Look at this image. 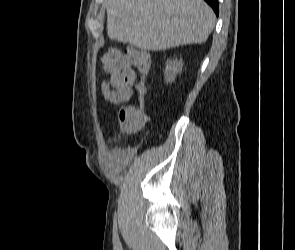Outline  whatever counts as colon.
I'll return each instance as SVG.
<instances>
[{"mask_svg":"<svg viewBox=\"0 0 295 250\" xmlns=\"http://www.w3.org/2000/svg\"><path fill=\"white\" fill-rule=\"evenodd\" d=\"M136 50L127 48L122 51L117 49L108 50L103 56V64L107 70H111L118 62L128 57ZM138 97L133 101L120 107L117 112V121L119 126L126 132L139 131L147 121V115L144 111L142 96L145 94L146 86L143 82L136 86Z\"/></svg>","mask_w":295,"mask_h":250,"instance_id":"obj_1","label":"colon"}]
</instances>
